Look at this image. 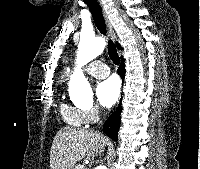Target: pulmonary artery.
I'll return each instance as SVG.
<instances>
[{
    "label": "pulmonary artery",
    "mask_w": 200,
    "mask_h": 169,
    "mask_svg": "<svg viewBox=\"0 0 200 169\" xmlns=\"http://www.w3.org/2000/svg\"><path fill=\"white\" fill-rule=\"evenodd\" d=\"M85 70L95 78H105L110 73L109 67L101 60L91 62Z\"/></svg>",
    "instance_id": "pulmonary-artery-1"
}]
</instances>
